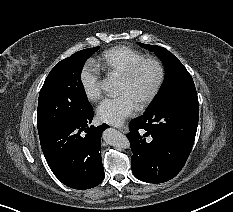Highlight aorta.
I'll return each instance as SVG.
<instances>
[{
  "label": "aorta",
  "instance_id": "obj_1",
  "mask_svg": "<svg viewBox=\"0 0 233 212\" xmlns=\"http://www.w3.org/2000/svg\"><path fill=\"white\" fill-rule=\"evenodd\" d=\"M100 88L108 93L115 94L118 91V81L116 78L108 77L99 84ZM105 142L118 149H126L130 147L129 140L125 135L115 129H107L103 133Z\"/></svg>",
  "mask_w": 233,
  "mask_h": 212
}]
</instances>
